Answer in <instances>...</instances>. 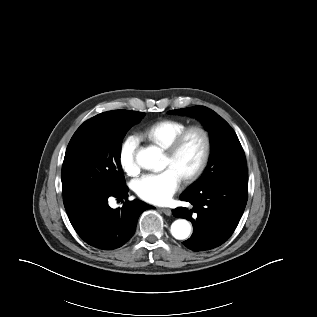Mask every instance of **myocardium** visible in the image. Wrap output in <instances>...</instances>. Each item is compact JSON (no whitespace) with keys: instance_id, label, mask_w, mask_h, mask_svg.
<instances>
[{"instance_id":"myocardium-1","label":"myocardium","mask_w":317,"mask_h":317,"mask_svg":"<svg viewBox=\"0 0 317 317\" xmlns=\"http://www.w3.org/2000/svg\"><path fill=\"white\" fill-rule=\"evenodd\" d=\"M194 132L200 134L203 139V152L196 168L191 173L186 174L182 177L183 180L186 182L196 181L203 174L204 170L207 167L212 148L210 133L206 128L200 125L188 126L175 137V139L166 149V155H168L172 159L175 158L179 154L188 136Z\"/></svg>"}]
</instances>
